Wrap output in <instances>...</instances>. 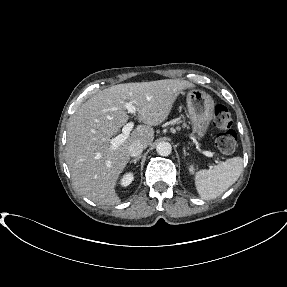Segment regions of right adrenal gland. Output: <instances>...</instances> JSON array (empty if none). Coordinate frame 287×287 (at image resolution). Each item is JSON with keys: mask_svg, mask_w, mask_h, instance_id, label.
Instances as JSON below:
<instances>
[{"mask_svg": "<svg viewBox=\"0 0 287 287\" xmlns=\"http://www.w3.org/2000/svg\"><path fill=\"white\" fill-rule=\"evenodd\" d=\"M140 158H141V156H138V157H136V158L130 160L129 163H130V164H131V163H134V164L136 165L137 161H138Z\"/></svg>", "mask_w": 287, "mask_h": 287, "instance_id": "right-adrenal-gland-1", "label": "right adrenal gland"}]
</instances>
